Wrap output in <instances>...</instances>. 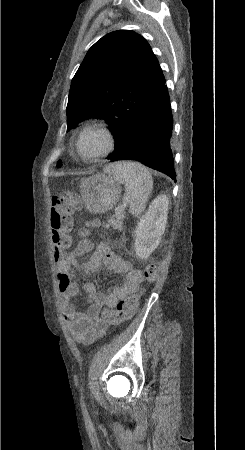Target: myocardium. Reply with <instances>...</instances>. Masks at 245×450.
<instances>
[{
	"instance_id": "obj_1",
	"label": "myocardium",
	"mask_w": 245,
	"mask_h": 450,
	"mask_svg": "<svg viewBox=\"0 0 245 450\" xmlns=\"http://www.w3.org/2000/svg\"><path fill=\"white\" fill-rule=\"evenodd\" d=\"M94 134H101L105 139V146L104 148L94 154H83L80 151V147L82 145V142L90 135ZM116 140L113 132L110 130V128L105 124H93L85 126L78 134L76 140H75V151L76 153L85 160H94L98 158H103L111 154L115 148Z\"/></svg>"
}]
</instances>
